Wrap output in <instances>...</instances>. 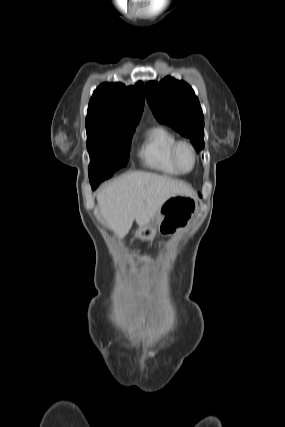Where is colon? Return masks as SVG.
I'll list each match as a JSON object with an SVG mask.
<instances>
[{"instance_id": "1", "label": "colon", "mask_w": 285, "mask_h": 427, "mask_svg": "<svg viewBox=\"0 0 285 427\" xmlns=\"http://www.w3.org/2000/svg\"><path fill=\"white\" fill-rule=\"evenodd\" d=\"M147 262H148V260H147V259H144V260H143V263H144V264H145V263H147Z\"/></svg>"}]
</instances>
